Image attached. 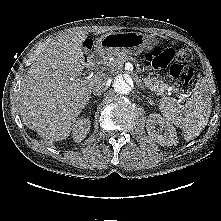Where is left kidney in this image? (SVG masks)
Here are the masks:
<instances>
[{"instance_id":"5707ae66","label":"left kidney","mask_w":221,"mask_h":221,"mask_svg":"<svg viewBox=\"0 0 221 221\" xmlns=\"http://www.w3.org/2000/svg\"><path fill=\"white\" fill-rule=\"evenodd\" d=\"M155 125L161 127V132L155 130ZM163 130L164 133H162ZM147 131L149 136L162 146H173L178 143L177 132L173 125L158 114L150 115L147 123Z\"/></svg>"}]
</instances>
